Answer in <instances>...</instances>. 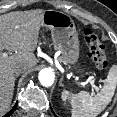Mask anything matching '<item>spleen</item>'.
I'll return each instance as SVG.
<instances>
[{
	"mask_svg": "<svg viewBox=\"0 0 117 117\" xmlns=\"http://www.w3.org/2000/svg\"><path fill=\"white\" fill-rule=\"evenodd\" d=\"M117 84V67L112 66L97 93L80 92L68 97L71 117H96L111 101Z\"/></svg>",
	"mask_w": 117,
	"mask_h": 117,
	"instance_id": "obj_1",
	"label": "spleen"
}]
</instances>
